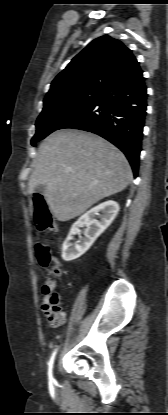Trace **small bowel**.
<instances>
[{
	"label": "small bowel",
	"mask_w": 168,
	"mask_h": 415,
	"mask_svg": "<svg viewBox=\"0 0 168 415\" xmlns=\"http://www.w3.org/2000/svg\"><path fill=\"white\" fill-rule=\"evenodd\" d=\"M41 310L52 327H58L65 323V313L60 304V296L54 288L45 284L42 287Z\"/></svg>",
	"instance_id": "small-bowel-1"
}]
</instances>
